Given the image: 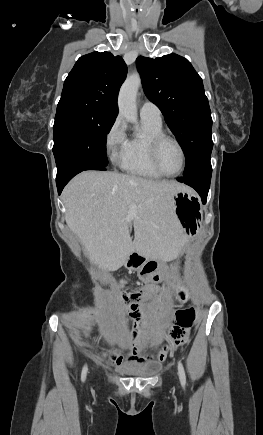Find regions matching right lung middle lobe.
Masks as SVG:
<instances>
[{"label":"right lung middle lobe","instance_id":"dd1d6c3e","mask_svg":"<svg viewBox=\"0 0 263 435\" xmlns=\"http://www.w3.org/2000/svg\"><path fill=\"white\" fill-rule=\"evenodd\" d=\"M114 121V115L94 107H57L53 127L57 170L72 161L106 167V137Z\"/></svg>","mask_w":263,"mask_h":435}]
</instances>
